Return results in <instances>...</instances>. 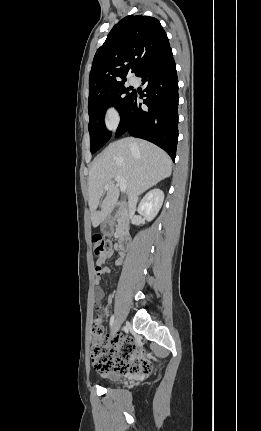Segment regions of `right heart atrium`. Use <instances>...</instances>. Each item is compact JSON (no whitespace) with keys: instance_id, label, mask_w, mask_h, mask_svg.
I'll use <instances>...</instances> for the list:
<instances>
[{"instance_id":"right-heart-atrium-1","label":"right heart atrium","mask_w":261,"mask_h":431,"mask_svg":"<svg viewBox=\"0 0 261 431\" xmlns=\"http://www.w3.org/2000/svg\"><path fill=\"white\" fill-rule=\"evenodd\" d=\"M119 113L114 106H109L105 111V124L109 130H113L119 123Z\"/></svg>"}]
</instances>
